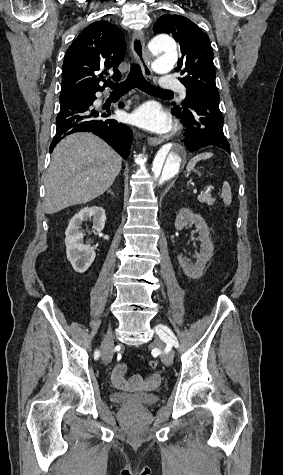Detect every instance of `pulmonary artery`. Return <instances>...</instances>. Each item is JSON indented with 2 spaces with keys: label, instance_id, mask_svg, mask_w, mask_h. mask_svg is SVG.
<instances>
[{
  "label": "pulmonary artery",
  "instance_id": "pulmonary-artery-1",
  "mask_svg": "<svg viewBox=\"0 0 283 475\" xmlns=\"http://www.w3.org/2000/svg\"><path fill=\"white\" fill-rule=\"evenodd\" d=\"M158 89H175L176 81L175 80H158L156 83ZM179 87L178 94L180 96H185L187 94V89L182 86L180 83L177 84Z\"/></svg>",
  "mask_w": 283,
  "mask_h": 475
}]
</instances>
